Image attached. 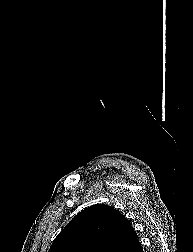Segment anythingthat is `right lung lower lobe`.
<instances>
[{
    "mask_svg": "<svg viewBox=\"0 0 193 252\" xmlns=\"http://www.w3.org/2000/svg\"><path fill=\"white\" fill-rule=\"evenodd\" d=\"M133 252H143L141 245L139 244Z\"/></svg>",
    "mask_w": 193,
    "mask_h": 252,
    "instance_id": "1",
    "label": "right lung lower lobe"
}]
</instances>
